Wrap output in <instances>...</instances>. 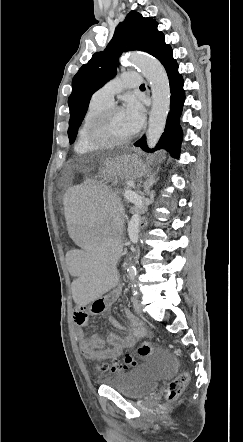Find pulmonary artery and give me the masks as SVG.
I'll list each match as a JSON object with an SVG mask.
<instances>
[{"label": "pulmonary artery", "mask_w": 243, "mask_h": 442, "mask_svg": "<svg viewBox=\"0 0 243 442\" xmlns=\"http://www.w3.org/2000/svg\"><path fill=\"white\" fill-rule=\"evenodd\" d=\"M141 85L140 74L137 72H124L118 77L110 80L103 87L97 90L93 97L99 102L113 105L114 95L123 89L134 88Z\"/></svg>", "instance_id": "1"}]
</instances>
